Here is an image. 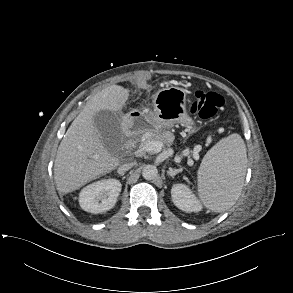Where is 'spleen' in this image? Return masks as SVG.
Returning <instances> with one entry per match:
<instances>
[{"mask_svg":"<svg viewBox=\"0 0 293 293\" xmlns=\"http://www.w3.org/2000/svg\"><path fill=\"white\" fill-rule=\"evenodd\" d=\"M246 164L245 143L237 133L221 139L206 153L198 170V194L206 208L220 213L235 204Z\"/></svg>","mask_w":293,"mask_h":293,"instance_id":"spleen-1","label":"spleen"}]
</instances>
